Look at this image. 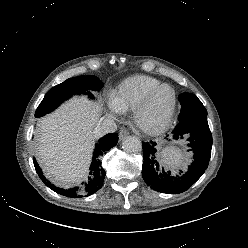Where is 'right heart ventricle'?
<instances>
[{
  "instance_id": "obj_1",
  "label": "right heart ventricle",
  "mask_w": 248,
  "mask_h": 248,
  "mask_svg": "<svg viewBox=\"0 0 248 248\" xmlns=\"http://www.w3.org/2000/svg\"><path fill=\"white\" fill-rule=\"evenodd\" d=\"M161 84V81L150 76H132L118 85L113 99L122 112L132 111L152 89Z\"/></svg>"
}]
</instances>
